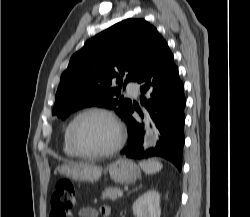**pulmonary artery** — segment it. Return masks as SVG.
I'll list each match as a JSON object with an SVG mask.
<instances>
[{"label": "pulmonary artery", "mask_w": 250, "mask_h": 217, "mask_svg": "<svg viewBox=\"0 0 250 217\" xmlns=\"http://www.w3.org/2000/svg\"><path fill=\"white\" fill-rule=\"evenodd\" d=\"M126 91L129 95L136 97L139 91V85L135 82H129L126 85Z\"/></svg>", "instance_id": "obj_1"}]
</instances>
